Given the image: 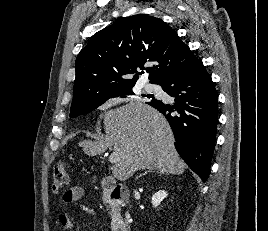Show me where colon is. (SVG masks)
Masks as SVG:
<instances>
[{"label":"colon","instance_id":"colon-1","mask_svg":"<svg viewBox=\"0 0 268 231\" xmlns=\"http://www.w3.org/2000/svg\"><path fill=\"white\" fill-rule=\"evenodd\" d=\"M51 180L54 191H63L67 188L69 184V174L65 162H58L55 164Z\"/></svg>","mask_w":268,"mask_h":231}]
</instances>
